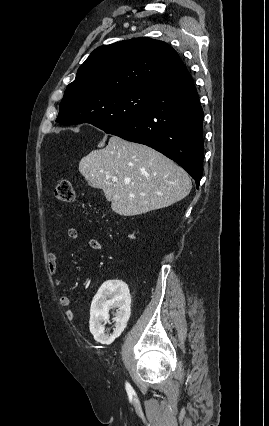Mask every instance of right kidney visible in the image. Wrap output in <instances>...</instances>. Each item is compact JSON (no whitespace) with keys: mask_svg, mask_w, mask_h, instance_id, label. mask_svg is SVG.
I'll return each instance as SVG.
<instances>
[{"mask_svg":"<svg viewBox=\"0 0 269 426\" xmlns=\"http://www.w3.org/2000/svg\"><path fill=\"white\" fill-rule=\"evenodd\" d=\"M134 239V235L128 236ZM113 307L118 308L114 321L116 327H120L124 316L130 308V293L128 286L122 281L105 282L94 297L90 309V332L94 339L100 343L110 342L114 336L105 334V327L102 323H107L109 319V310Z\"/></svg>","mask_w":269,"mask_h":426,"instance_id":"1","label":"right kidney"}]
</instances>
